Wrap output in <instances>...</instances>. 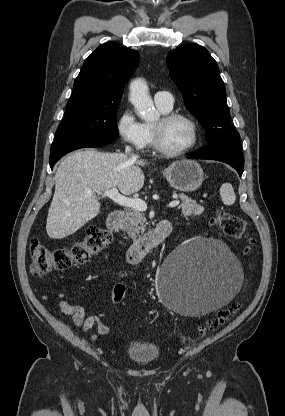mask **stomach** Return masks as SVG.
<instances>
[{
	"mask_svg": "<svg viewBox=\"0 0 285 416\" xmlns=\"http://www.w3.org/2000/svg\"><path fill=\"white\" fill-rule=\"evenodd\" d=\"M164 178L174 190L195 192L204 180V172L194 160H177L163 172Z\"/></svg>",
	"mask_w": 285,
	"mask_h": 416,
	"instance_id": "stomach-1",
	"label": "stomach"
}]
</instances>
